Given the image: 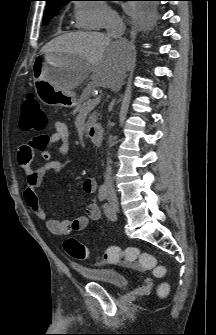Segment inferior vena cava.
<instances>
[{
	"instance_id": "obj_1",
	"label": "inferior vena cava",
	"mask_w": 216,
	"mask_h": 335,
	"mask_svg": "<svg viewBox=\"0 0 216 335\" xmlns=\"http://www.w3.org/2000/svg\"><path fill=\"white\" fill-rule=\"evenodd\" d=\"M107 35L108 37L118 39L122 37V35L125 32V25L122 21V19L116 15L113 14L109 17L107 21ZM124 78V75L122 76V80ZM105 186L109 191H113V178H112V168L110 166V159H107V167H106V173H105Z\"/></svg>"
}]
</instances>
